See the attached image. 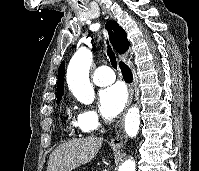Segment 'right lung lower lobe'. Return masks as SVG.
<instances>
[{
	"instance_id": "obj_1",
	"label": "right lung lower lobe",
	"mask_w": 199,
	"mask_h": 171,
	"mask_svg": "<svg viewBox=\"0 0 199 171\" xmlns=\"http://www.w3.org/2000/svg\"><path fill=\"white\" fill-rule=\"evenodd\" d=\"M119 67L121 68L124 80L128 83L132 82L133 76L130 68L122 62L119 63Z\"/></svg>"
}]
</instances>
